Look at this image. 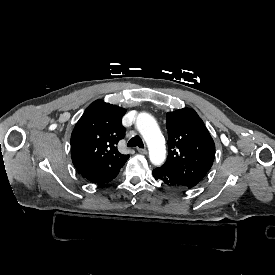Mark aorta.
<instances>
[{"instance_id": "1", "label": "aorta", "mask_w": 275, "mask_h": 275, "mask_svg": "<svg viewBox=\"0 0 275 275\" xmlns=\"http://www.w3.org/2000/svg\"><path fill=\"white\" fill-rule=\"evenodd\" d=\"M136 127L149 146L150 159L154 164H160L165 158V149L161 143V132L153 116L142 113L138 116Z\"/></svg>"}]
</instances>
